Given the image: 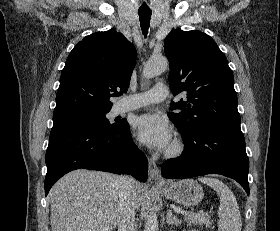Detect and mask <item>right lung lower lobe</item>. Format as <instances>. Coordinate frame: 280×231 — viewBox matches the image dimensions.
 <instances>
[{"label": "right lung lower lobe", "instance_id": "98d812e1", "mask_svg": "<svg viewBox=\"0 0 280 231\" xmlns=\"http://www.w3.org/2000/svg\"><path fill=\"white\" fill-rule=\"evenodd\" d=\"M45 196L66 173L84 168L130 174L147 180V159L134 144L129 125L117 131H98L84 126L53 127L46 152Z\"/></svg>", "mask_w": 280, "mask_h": 231}]
</instances>
